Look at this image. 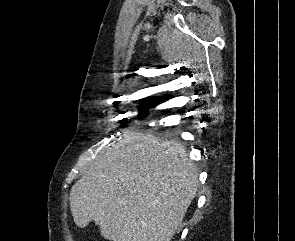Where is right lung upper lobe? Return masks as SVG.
<instances>
[{
	"mask_svg": "<svg viewBox=\"0 0 295 241\" xmlns=\"http://www.w3.org/2000/svg\"><path fill=\"white\" fill-rule=\"evenodd\" d=\"M160 102V100L146 99L145 102L139 106V109L146 112L148 108L155 107Z\"/></svg>",
	"mask_w": 295,
	"mask_h": 241,
	"instance_id": "obj_1",
	"label": "right lung upper lobe"
}]
</instances>
